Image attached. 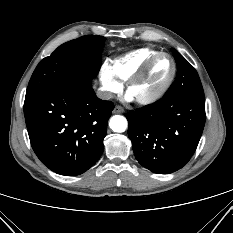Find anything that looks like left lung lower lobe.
Here are the masks:
<instances>
[{"label": "left lung lower lobe", "instance_id": "obj_1", "mask_svg": "<svg viewBox=\"0 0 233 233\" xmlns=\"http://www.w3.org/2000/svg\"><path fill=\"white\" fill-rule=\"evenodd\" d=\"M128 136L138 162L158 174H169L188 163L205 124L202 96L163 97L130 111Z\"/></svg>", "mask_w": 233, "mask_h": 233}]
</instances>
